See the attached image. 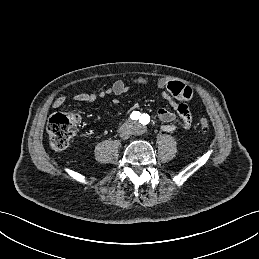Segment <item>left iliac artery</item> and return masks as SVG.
<instances>
[{"mask_svg":"<svg viewBox=\"0 0 259 259\" xmlns=\"http://www.w3.org/2000/svg\"><path fill=\"white\" fill-rule=\"evenodd\" d=\"M140 121H141L142 124H148L149 121H150L149 115H147L145 113L142 114L141 117H140Z\"/></svg>","mask_w":259,"mask_h":259,"instance_id":"obj_1","label":"left iliac artery"}]
</instances>
